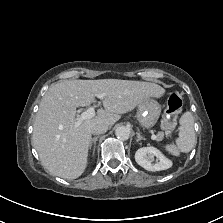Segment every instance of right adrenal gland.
Listing matches in <instances>:
<instances>
[{
	"label": "right adrenal gland",
	"mask_w": 223,
	"mask_h": 223,
	"mask_svg": "<svg viewBox=\"0 0 223 223\" xmlns=\"http://www.w3.org/2000/svg\"><path fill=\"white\" fill-rule=\"evenodd\" d=\"M98 140V136L97 137H94L92 140H91V143H90V150L92 148V145L94 144V149H93V156L95 154V149H96V142Z\"/></svg>",
	"instance_id": "obj_1"
}]
</instances>
